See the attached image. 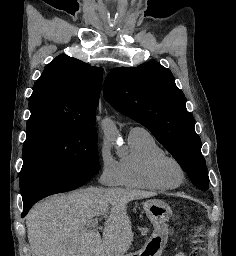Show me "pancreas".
Returning a JSON list of instances; mask_svg holds the SVG:
<instances>
[{"label":"pancreas","instance_id":"pancreas-1","mask_svg":"<svg viewBox=\"0 0 236 256\" xmlns=\"http://www.w3.org/2000/svg\"><path fill=\"white\" fill-rule=\"evenodd\" d=\"M142 234H146V230L145 228H143V230H141ZM140 242H143V239H140Z\"/></svg>","mask_w":236,"mask_h":256}]
</instances>
